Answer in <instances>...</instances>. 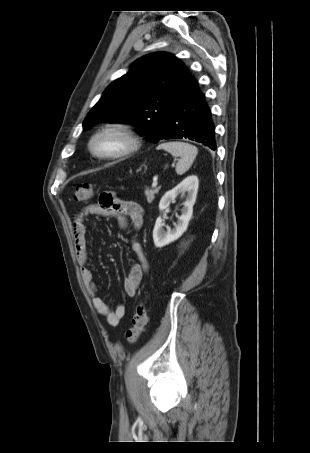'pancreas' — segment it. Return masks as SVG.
<instances>
[{
  "label": "pancreas",
  "instance_id": "1",
  "mask_svg": "<svg viewBox=\"0 0 310 453\" xmlns=\"http://www.w3.org/2000/svg\"><path fill=\"white\" fill-rule=\"evenodd\" d=\"M158 192H159L158 188L153 189V190L147 188L145 190V196H146L147 202L152 203L153 200L155 199V195L158 194Z\"/></svg>",
  "mask_w": 310,
  "mask_h": 453
}]
</instances>
